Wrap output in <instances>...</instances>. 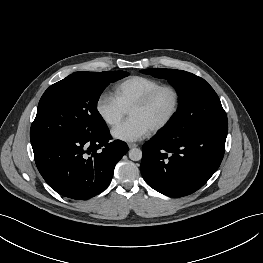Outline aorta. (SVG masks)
Here are the masks:
<instances>
[{
  "label": "aorta",
  "instance_id": "aorta-1",
  "mask_svg": "<svg viewBox=\"0 0 263 263\" xmlns=\"http://www.w3.org/2000/svg\"><path fill=\"white\" fill-rule=\"evenodd\" d=\"M129 158L133 161H139L142 158V151L138 148H132L129 151Z\"/></svg>",
  "mask_w": 263,
  "mask_h": 263
}]
</instances>
